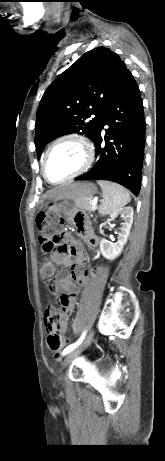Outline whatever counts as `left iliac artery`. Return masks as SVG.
Segmentation results:
<instances>
[{
  "mask_svg": "<svg viewBox=\"0 0 165 461\" xmlns=\"http://www.w3.org/2000/svg\"><path fill=\"white\" fill-rule=\"evenodd\" d=\"M84 337H85V332L83 333V335L81 336V338H80L76 343H74V344H72V345L66 347V348L64 349V351H63V354H64V355H65V354H68V353L71 352L73 349H75V348L83 341Z\"/></svg>",
  "mask_w": 165,
  "mask_h": 461,
  "instance_id": "obj_1",
  "label": "left iliac artery"
}]
</instances>
